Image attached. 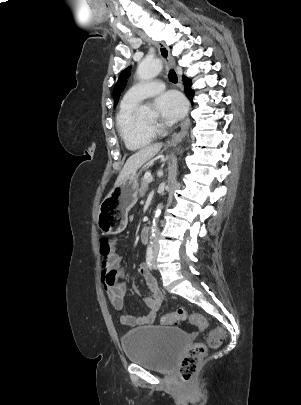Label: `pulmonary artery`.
I'll use <instances>...</instances> for the list:
<instances>
[{"label": "pulmonary artery", "mask_w": 301, "mask_h": 405, "mask_svg": "<svg viewBox=\"0 0 301 405\" xmlns=\"http://www.w3.org/2000/svg\"><path fill=\"white\" fill-rule=\"evenodd\" d=\"M164 88V83L159 80L141 82L132 86L125 93L123 101L126 103L138 104L143 99L160 93Z\"/></svg>", "instance_id": "obj_1"}]
</instances>
